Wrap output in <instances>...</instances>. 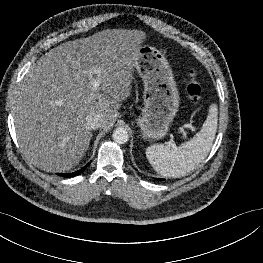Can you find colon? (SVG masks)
<instances>
[{
	"mask_svg": "<svg viewBox=\"0 0 263 263\" xmlns=\"http://www.w3.org/2000/svg\"><path fill=\"white\" fill-rule=\"evenodd\" d=\"M186 93L188 98L193 103H198L201 99L202 89L197 81V74L195 70H190L189 72V82L186 87Z\"/></svg>",
	"mask_w": 263,
	"mask_h": 263,
	"instance_id": "obj_1",
	"label": "colon"
}]
</instances>
